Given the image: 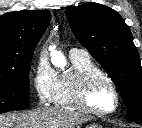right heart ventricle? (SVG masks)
<instances>
[{
  "label": "right heart ventricle",
  "instance_id": "obj_1",
  "mask_svg": "<svg viewBox=\"0 0 142 128\" xmlns=\"http://www.w3.org/2000/svg\"><path fill=\"white\" fill-rule=\"evenodd\" d=\"M70 70L56 73V81L51 102L58 107L80 109L75 101V88L78 79L88 73L102 72L89 56L70 55Z\"/></svg>",
  "mask_w": 142,
  "mask_h": 128
}]
</instances>
